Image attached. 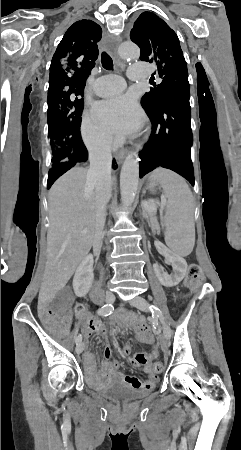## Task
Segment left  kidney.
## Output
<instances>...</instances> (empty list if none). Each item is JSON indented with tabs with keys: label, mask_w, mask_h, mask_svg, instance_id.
Returning <instances> with one entry per match:
<instances>
[{
	"label": "left kidney",
	"mask_w": 241,
	"mask_h": 450,
	"mask_svg": "<svg viewBox=\"0 0 241 450\" xmlns=\"http://www.w3.org/2000/svg\"><path fill=\"white\" fill-rule=\"evenodd\" d=\"M157 250H159L160 254L164 256L167 262H170L173 268V274L168 276L167 272H164V268L159 266V264H154V272L162 286H166V288H172V286H178L179 282L183 280L185 276V272L187 270V262L181 256H176L173 252H170L162 242H154Z\"/></svg>",
	"instance_id": "obj_1"
}]
</instances>
